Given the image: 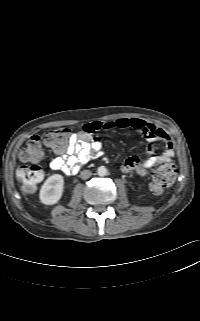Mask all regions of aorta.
I'll return each instance as SVG.
<instances>
[{"label":"aorta","instance_id":"aorta-1","mask_svg":"<svg viewBox=\"0 0 200 321\" xmlns=\"http://www.w3.org/2000/svg\"><path fill=\"white\" fill-rule=\"evenodd\" d=\"M97 173L99 176H105L107 174V168L104 166H101L98 168Z\"/></svg>","mask_w":200,"mask_h":321}]
</instances>
